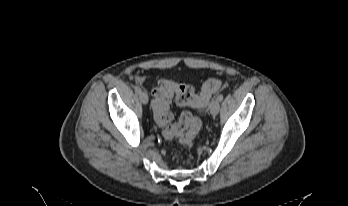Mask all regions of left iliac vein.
I'll list each match as a JSON object with an SVG mask.
<instances>
[{
  "label": "left iliac vein",
  "mask_w": 348,
  "mask_h": 206,
  "mask_svg": "<svg viewBox=\"0 0 348 206\" xmlns=\"http://www.w3.org/2000/svg\"><path fill=\"white\" fill-rule=\"evenodd\" d=\"M220 105L217 99L212 100L210 104V112L213 116H216L219 113Z\"/></svg>",
  "instance_id": "obj_1"
}]
</instances>
